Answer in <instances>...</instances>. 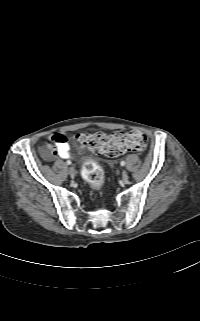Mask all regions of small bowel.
Instances as JSON below:
<instances>
[{
    "mask_svg": "<svg viewBox=\"0 0 200 321\" xmlns=\"http://www.w3.org/2000/svg\"><path fill=\"white\" fill-rule=\"evenodd\" d=\"M41 153L47 159H55L57 157L66 159L72 155L69 140L62 134H54L47 146L41 149Z\"/></svg>",
    "mask_w": 200,
    "mask_h": 321,
    "instance_id": "small-bowel-1",
    "label": "small bowel"
}]
</instances>
